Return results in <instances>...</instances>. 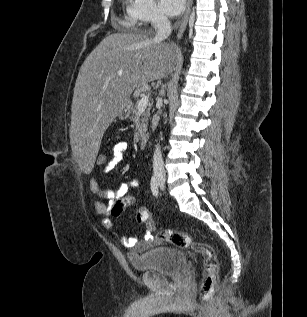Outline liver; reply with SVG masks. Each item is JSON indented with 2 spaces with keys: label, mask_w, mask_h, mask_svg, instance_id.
Returning <instances> with one entry per match:
<instances>
[{
  "label": "liver",
  "mask_w": 307,
  "mask_h": 317,
  "mask_svg": "<svg viewBox=\"0 0 307 317\" xmlns=\"http://www.w3.org/2000/svg\"><path fill=\"white\" fill-rule=\"evenodd\" d=\"M174 48L146 33L105 37L81 66L71 106L70 141L79 172L91 175L104 132L133 90L166 78L176 58Z\"/></svg>",
  "instance_id": "6515ba94"
}]
</instances>
